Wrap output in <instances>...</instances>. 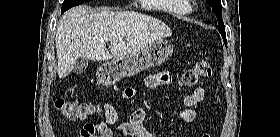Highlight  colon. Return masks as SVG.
Here are the masks:
<instances>
[{"label": "colon", "instance_id": "5ec220e1", "mask_svg": "<svg viewBox=\"0 0 280 137\" xmlns=\"http://www.w3.org/2000/svg\"><path fill=\"white\" fill-rule=\"evenodd\" d=\"M211 74L212 69L210 64L202 61L187 69L182 74L181 84L185 87H194L201 79L209 78ZM55 107L63 117L70 120H84L95 112V107L91 103L75 102L62 98L56 100Z\"/></svg>", "mask_w": 280, "mask_h": 137}]
</instances>
